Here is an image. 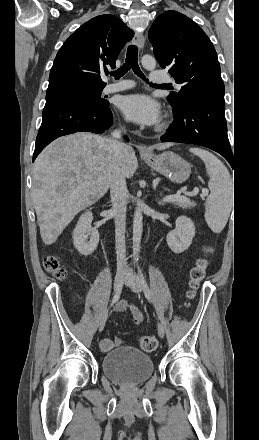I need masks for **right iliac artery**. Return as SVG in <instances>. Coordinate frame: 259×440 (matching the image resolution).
<instances>
[{"label":"right iliac artery","instance_id":"82829eb1","mask_svg":"<svg viewBox=\"0 0 259 440\" xmlns=\"http://www.w3.org/2000/svg\"><path fill=\"white\" fill-rule=\"evenodd\" d=\"M122 288H120V290L114 295L113 299H112V303L111 306H113L119 299L120 294H121Z\"/></svg>","mask_w":259,"mask_h":440}]
</instances>
